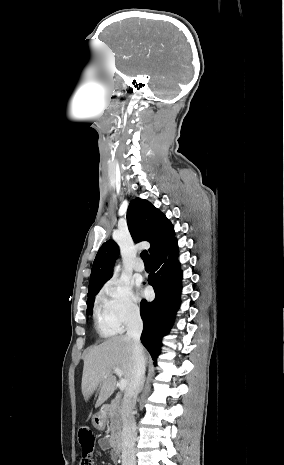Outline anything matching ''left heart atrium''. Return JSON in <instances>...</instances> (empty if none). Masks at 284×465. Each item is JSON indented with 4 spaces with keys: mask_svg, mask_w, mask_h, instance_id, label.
<instances>
[{
    "mask_svg": "<svg viewBox=\"0 0 284 465\" xmlns=\"http://www.w3.org/2000/svg\"><path fill=\"white\" fill-rule=\"evenodd\" d=\"M141 295H144V296H145V295H146V292H139V293H138V297L141 296Z\"/></svg>",
    "mask_w": 284,
    "mask_h": 465,
    "instance_id": "1",
    "label": "left heart atrium"
}]
</instances>
